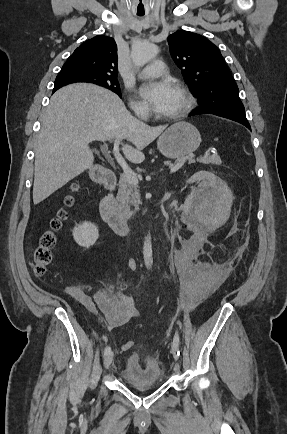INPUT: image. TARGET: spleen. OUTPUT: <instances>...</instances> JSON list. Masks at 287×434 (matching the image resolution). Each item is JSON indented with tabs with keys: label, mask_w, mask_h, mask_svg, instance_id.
Returning a JSON list of instances; mask_svg holds the SVG:
<instances>
[{
	"label": "spleen",
	"mask_w": 287,
	"mask_h": 434,
	"mask_svg": "<svg viewBox=\"0 0 287 434\" xmlns=\"http://www.w3.org/2000/svg\"><path fill=\"white\" fill-rule=\"evenodd\" d=\"M212 222H213V224H218V223H220V221H217V220H214V219H213Z\"/></svg>",
	"instance_id": "spleen-1"
}]
</instances>
